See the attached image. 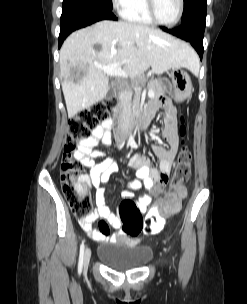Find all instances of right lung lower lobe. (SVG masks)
Instances as JSON below:
<instances>
[{"mask_svg":"<svg viewBox=\"0 0 247 304\" xmlns=\"http://www.w3.org/2000/svg\"><path fill=\"white\" fill-rule=\"evenodd\" d=\"M100 20H117V17L110 9L105 7L89 5L77 0H64L61 15L59 48L71 32Z\"/></svg>","mask_w":247,"mask_h":304,"instance_id":"obj_1","label":"right lung lower lobe"}]
</instances>
